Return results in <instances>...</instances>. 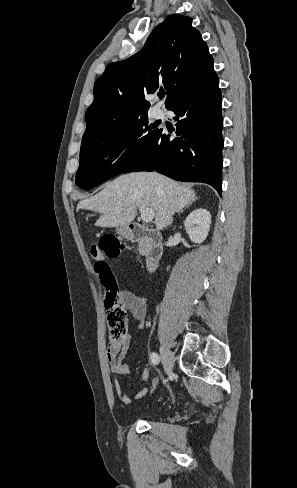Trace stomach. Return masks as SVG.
I'll use <instances>...</instances> for the list:
<instances>
[{"label":"stomach","mask_w":297,"mask_h":488,"mask_svg":"<svg viewBox=\"0 0 297 488\" xmlns=\"http://www.w3.org/2000/svg\"><path fill=\"white\" fill-rule=\"evenodd\" d=\"M118 233L123 236V237H127L128 236V230H127V227H122V228H119L118 229Z\"/></svg>","instance_id":"stomach-1"}]
</instances>
